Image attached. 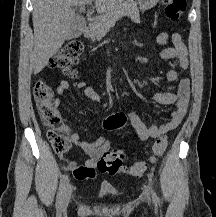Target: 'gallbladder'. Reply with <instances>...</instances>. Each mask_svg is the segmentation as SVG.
Here are the masks:
<instances>
[{
  "label": "gallbladder",
  "instance_id": "1",
  "mask_svg": "<svg viewBox=\"0 0 216 217\" xmlns=\"http://www.w3.org/2000/svg\"><path fill=\"white\" fill-rule=\"evenodd\" d=\"M83 29V22L80 18L76 17L74 19L73 24L71 25V28L69 30V33L66 37L67 40L74 39L80 37Z\"/></svg>",
  "mask_w": 216,
  "mask_h": 217
}]
</instances>
